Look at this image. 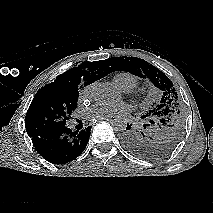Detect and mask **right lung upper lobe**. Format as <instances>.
I'll use <instances>...</instances> for the list:
<instances>
[{
    "label": "right lung upper lobe",
    "mask_w": 213,
    "mask_h": 213,
    "mask_svg": "<svg viewBox=\"0 0 213 213\" xmlns=\"http://www.w3.org/2000/svg\"><path fill=\"white\" fill-rule=\"evenodd\" d=\"M107 74L109 72L102 67V61L85 62L57 76L54 82L45 87H78L80 82L86 86Z\"/></svg>",
    "instance_id": "right-lung-upper-lobe-1"
}]
</instances>
